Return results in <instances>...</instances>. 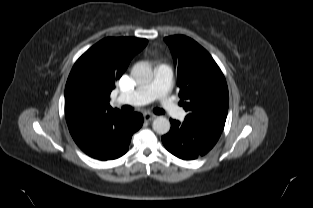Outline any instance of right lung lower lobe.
Segmentation results:
<instances>
[{"label": "right lung lower lobe", "mask_w": 313, "mask_h": 208, "mask_svg": "<svg viewBox=\"0 0 313 208\" xmlns=\"http://www.w3.org/2000/svg\"><path fill=\"white\" fill-rule=\"evenodd\" d=\"M66 121L81 150L103 161L124 155L133 133L142 126L139 113H123L117 109L66 114Z\"/></svg>", "instance_id": "98d812e1"}]
</instances>
